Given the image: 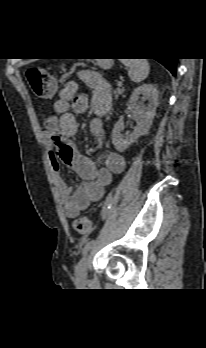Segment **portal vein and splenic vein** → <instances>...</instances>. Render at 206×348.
<instances>
[{
  "mask_svg": "<svg viewBox=\"0 0 206 348\" xmlns=\"http://www.w3.org/2000/svg\"><path fill=\"white\" fill-rule=\"evenodd\" d=\"M118 86H122V81H119V82H118Z\"/></svg>",
  "mask_w": 206,
  "mask_h": 348,
  "instance_id": "portal-vein-and-splenic-vein-1",
  "label": "portal vein and splenic vein"
}]
</instances>
